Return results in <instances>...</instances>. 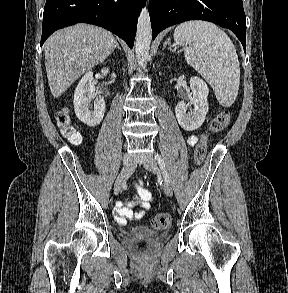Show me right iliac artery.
<instances>
[{
  "label": "right iliac artery",
  "instance_id": "1",
  "mask_svg": "<svg viewBox=\"0 0 288 293\" xmlns=\"http://www.w3.org/2000/svg\"><path fill=\"white\" fill-rule=\"evenodd\" d=\"M122 163H123V169L127 170L128 167L130 166V159L128 156H123L122 157Z\"/></svg>",
  "mask_w": 288,
  "mask_h": 293
}]
</instances>
